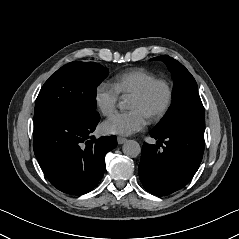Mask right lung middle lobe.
<instances>
[{"mask_svg": "<svg viewBox=\"0 0 239 239\" xmlns=\"http://www.w3.org/2000/svg\"><path fill=\"white\" fill-rule=\"evenodd\" d=\"M108 69L95 62L68 63L57 70L41 88L35 104L34 125L63 114L85 119L99 118L96 92Z\"/></svg>", "mask_w": 239, "mask_h": 239, "instance_id": "1", "label": "right lung middle lobe"}]
</instances>
